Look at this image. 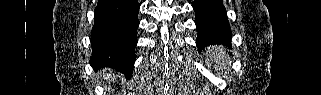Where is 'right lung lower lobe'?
Listing matches in <instances>:
<instances>
[{
	"label": "right lung lower lobe",
	"instance_id": "obj_1",
	"mask_svg": "<svg viewBox=\"0 0 321 95\" xmlns=\"http://www.w3.org/2000/svg\"><path fill=\"white\" fill-rule=\"evenodd\" d=\"M137 0H99L94 13L91 31L94 69L108 66L130 78L135 62L137 45Z\"/></svg>",
	"mask_w": 321,
	"mask_h": 95
}]
</instances>
